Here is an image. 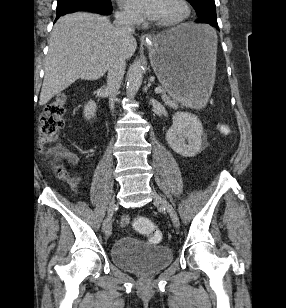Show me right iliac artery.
I'll use <instances>...</instances> for the list:
<instances>
[{
    "instance_id": "obj_1",
    "label": "right iliac artery",
    "mask_w": 286,
    "mask_h": 308,
    "mask_svg": "<svg viewBox=\"0 0 286 308\" xmlns=\"http://www.w3.org/2000/svg\"><path fill=\"white\" fill-rule=\"evenodd\" d=\"M105 224H106V220L104 221V224H103V230H105Z\"/></svg>"
}]
</instances>
